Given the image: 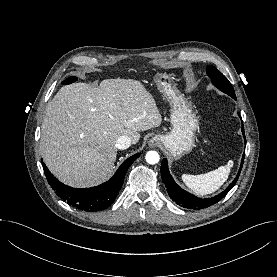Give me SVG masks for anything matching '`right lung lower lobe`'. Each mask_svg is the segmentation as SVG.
Instances as JSON below:
<instances>
[{
    "instance_id": "98d812e1",
    "label": "right lung lower lobe",
    "mask_w": 277,
    "mask_h": 277,
    "mask_svg": "<svg viewBox=\"0 0 277 277\" xmlns=\"http://www.w3.org/2000/svg\"><path fill=\"white\" fill-rule=\"evenodd\" d=\"M140 156L128 158L107 182L92 188L75 189L59 182L43 163L47 181L55 193L71 206L83 211H100L108 208L115 200L123 184L124 176L131 164Z\"/></svg>"
}]
</instances>
